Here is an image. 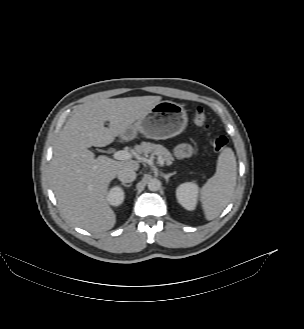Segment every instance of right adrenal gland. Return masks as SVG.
Returning a JSON list of instances; mask_svg holds the SVG:
<instances>
[{"label":"right adrenal gland","instance_id":"1","mask_svg":"<svg viewBox=\"0 0 304 329\" xmlns=\"http://www.w3.org/2000/svg\"><path fill=\"white\" fill-rule=\"evenodd\" d=\"M121 185H123L125 187H131L132 184L121 183Z\"/></svg>","mask_w":304,"mask_h":329}]
</instances>
